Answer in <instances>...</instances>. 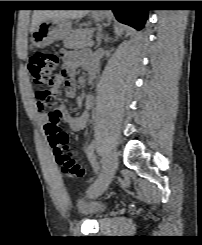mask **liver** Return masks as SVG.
<instances>
[{"label":"liver","mask_w":202,"mask_h":245,"mask_svg":"<svg viewBox=\"0 0 202 245\" xmlns=\"http://www.w3.org/2000/svg\"><path fill=\"white\" fill-rule=\"evenodd\" d=\"M88 13V10H35L32 15L30 31L33 32L46 18L80 19L85 17Z\"/></svg>","instance_id":"6515ba94"}]
</instances>
